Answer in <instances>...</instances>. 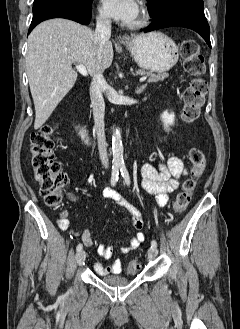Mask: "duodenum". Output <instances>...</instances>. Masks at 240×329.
Wrapping results in <instances>:
<instances>
[{
    "label": "duodenum",
    "instance_id": "duodenum-1",
    "mask_svg": "<svg viewBox=\"0 0 240 329\" xmlns=\"http://www.w3.org/2000/svg\"><path fill=\"white\" fill-rule=\"evenodd\" d=\"M74 128L77 136L81 139H85L89 134L88 129L79 121H75Z\"/></svg>",
    "mask_w": 240,
    "mask_h": 329
}]
</instances>
